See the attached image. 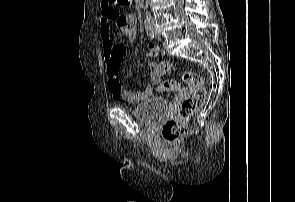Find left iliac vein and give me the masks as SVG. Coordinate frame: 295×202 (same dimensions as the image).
<instances>
[{
  "mask_svg": "<svg viewBox=\"0 0 295 202\" xmlns=\"http://www.w3.org/2000/svg\"><path fill=\"white\" fill-rule=\"evenodd\" d=\"M151 27H152V29H153V31H154V34H155L156 38H157V39H160V38H161V33H160V31H158V30L155 28L154 22L151 23Z\"/></svg>",
  "mask_w": 295,
  "mask_h": 202,
  "instance_id": "obj_1",
  "label": "left iliac vein"
}]
</instances>
